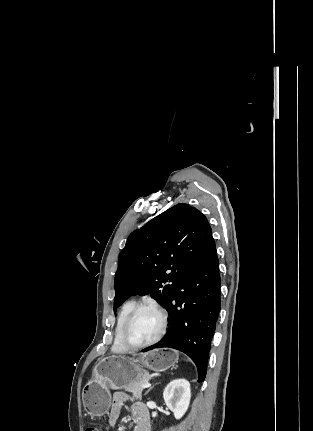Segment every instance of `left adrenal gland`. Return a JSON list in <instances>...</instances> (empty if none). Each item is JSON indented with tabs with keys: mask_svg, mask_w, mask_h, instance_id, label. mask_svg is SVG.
<instances>
[{
	"mask_svg": "<svg viewBox=\"0 0 313 431\" xmlns=\"http://www.w3.org/2000/svg\"><path fill=\"white\" fill-rule=\"evenodd\" d=\"M152 387H150L146 392L145 395H147L151 391Z\"/></svg>",
	"mask_w": 313,
	"mask_h": 431,
	"instance_id": "1",
	"label": "left adrenal gland"
}]
</instances>
